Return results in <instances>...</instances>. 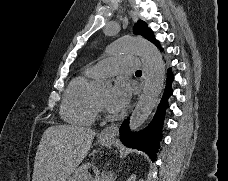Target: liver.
<instances>
[{"label":"liver","mask_w":228,"mask_h":181,"mask_svg":"<svg viewBox=\"0 0 228 181\" xmlns=\"http://www.w3.org/2000/svg\"><path fill=\"white\" fill-rule=\"evenodd\" d=\"M96 133L87 127H49L38 145L32 181H67L91 149Z\"/></svg>","instance_id":"obj_1"}]
</instances>
